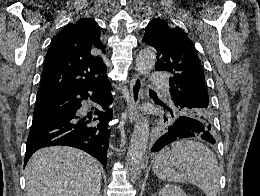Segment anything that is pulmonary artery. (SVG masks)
Returning <instances> with one entry per match:
<instances>
[{"mask_svg": "<svg viewBox=\"0 0 260 196\" xmlns=\"http://www.w3.org/2000/svg\"><path fill=\"white\" fill-rule=\"evenodd\" d=\"M149 84H167V79L162 72H151L148 80Z\"/></svg>", "mask_w": 260, "mask_h": 196, "instance_id": "e3ab8cb5", "label": "pulmonary artery"}]
</instances>
